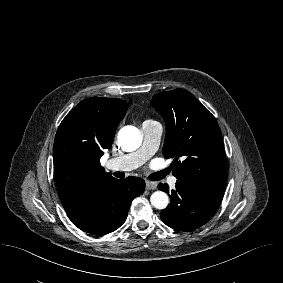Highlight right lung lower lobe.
Masks as SVG:
<instances>
[{"label":"right lung lower lobe","mask_w":283,"mask_h":283,"mask_svg":"<svg viewBox=\"0 0 283 283\" xmlns=\"http://www.w3.org/2000/svg\"><path fill=\"white\" fill-rule=\"evenodd\" d=\"M145 190V182L130 176L125 180L109 178L99 182L72 211L70 220L79 229L104 235L119 228L126 220L132 200Z\"/></svg>","instance_id":"1"}]
</instances>
